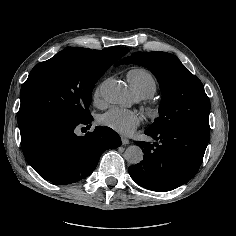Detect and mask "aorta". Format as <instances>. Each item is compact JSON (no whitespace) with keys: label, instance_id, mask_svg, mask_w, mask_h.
Returning a JSON list of instances; mask_svg holds the SVG:
<instances>
[{"label":"aorta","instance_id":"1","mask_svg":"<svg viewBox=\"0 0 236 236\" xmlns=\"http://www.w3.org/2000/svg\"><path fill=\"white\" fill-rule=\"evenodd\" d=\"M102 95L109 103H122L126 99L125 87L117 81L106 82L102 87ZM143 155L142 149L137 145L129 146L124 153L125 159L133 165L140 163Z\"/></svg>","mask_w":236,"mask_h":236}]
</instances>
